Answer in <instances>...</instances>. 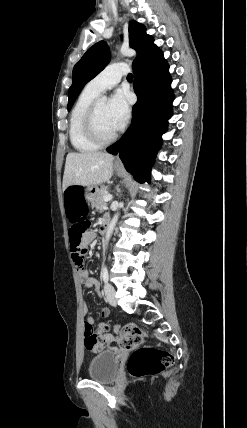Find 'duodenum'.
Here are the masks:
<instances>
[{
    "label": "duodenum",
    "instance_id": "duodenum-1",
    "mask_svg": "<svg viewBox=\"0 0 247 428\" xmlns=\"http://www.w3.org/2000/svg\"><path fill=\"white\" fill-rule=\"evenodd\" d=\"M108 226H109V219L108 218H104L103 221H102V223H101V228H100L101 233L104 234L107 231Z\"/></svg>",
    "mask_w": 247,
    "mask_h": 428
}]
</instances>
